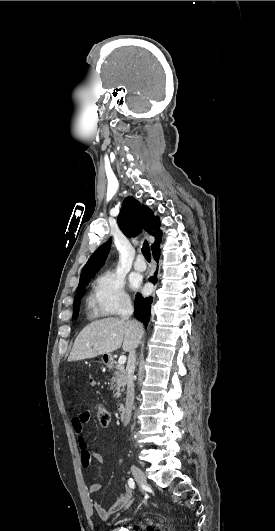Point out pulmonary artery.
<instances>
[{"label": "pulmonary artery", "mask_w": 275, "mask_h": 531, "mask_svg": "<svg viewBox=\"0 0 275 531\" xmlns=\"http://www.w3.org/2000/svg\"><path fill=\"white\" fill-rule=\"evenodd\" d=\"M133 267H134V269L137 270V271H144V270H146V268H147V264H146V262L144 261L143 254H142L141 252L137 255V259H136V261L134 262Z\"/></svg>", "instance_id": "1"}]
</instances>
